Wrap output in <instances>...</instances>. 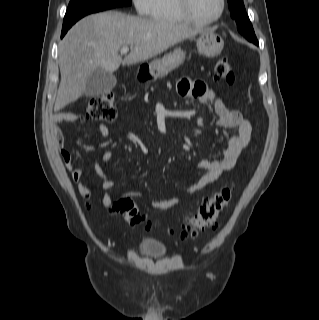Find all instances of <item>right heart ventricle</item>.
I'll list each match as a JSON object with an SVG mask.
<instances>
[{
	"label": "right heart ventricle",
	"mask_w": 319,
	"mask_h": 320,
	"mask_svg": "<svg viewBox=\"0 0 319 320\" xmlns=\"http://www.w3.org/2000/svg\"><path fill=\"white\" fill-rule=\"evenodd\" d=\"M151 19L167 24H184L187 19L181 13L177 0H154L149 13Z\"/></svg>",
	"instance_id": "right-heart-ventricle-1"
}]
</instances>
